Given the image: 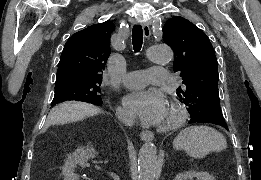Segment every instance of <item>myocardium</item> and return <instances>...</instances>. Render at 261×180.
<instances>
[{
	"label": "myocardium",
	"instance_id": "1",
	"mask_svg": "<svg viewBox=\"0 0 261 180\" xmlns=\"http://www.w3.org/2000/svg\"><path fill=\"white\" fill-rule=\"evenodd\" d=\"M169 108L167 118L164 122L157 121L154 125L156 131L165 134L175 133L185 119L183 104L175 97L171 96L168 100Z\"/></svg>",
	"mask_w": 261,
	"mask_h": 180
}]
</instances>
